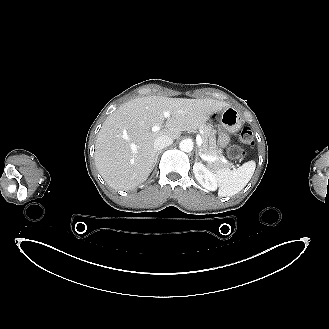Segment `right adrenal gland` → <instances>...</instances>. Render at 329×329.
<instances>
[{"label":"right adrenal gland","mask_w":329,"mask_h":329,"mask_svg":"<svg viewBox=\"0 0 329 329\" xmlns=\"http://www.w3.org/2000/svg\"><path fill=\"white\" fill-rule=\"evenodd\" d=\"M160 153H161V151H158V152L155 154L154 165L157 163L158 155H159Z\"/></svg>","instance_id":"2a0ac1e0"}]
</instances>
